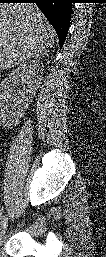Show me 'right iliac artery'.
Here are the masks:
<instances>
[{
    "label": "right iliac artery",
    "mask_w": 106,
    "mask_h": 257,
    "mask_svg": "<svg viewBox=\"0 0 106 257\" xmlns=\"http://www.w3.org/2000/svg\"><path fill=\"white\" fill-rule=\"evenodd\" d=\"M4 209H3V207H2V209H1V211H0V220H1V222L0 223H2L3 222V219H4Z\"/></svg>",
    "instance_id": "right-iliac-artery-1"
}]
</instances>
